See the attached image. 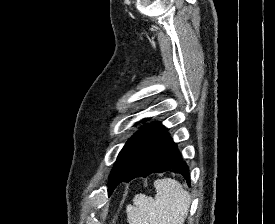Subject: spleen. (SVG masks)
<instances>
[{
  "label": "spleen",
  "instance_id": "obj_1",
  "mask_svg": "<svg viewBox=\"0 0 275 224\" xmlns=\"http://www.w3.org/2000/svg\"><path fill=\"white\" fill-rule=\"evenodd\" d=\"M155 198L137 194L128 205L129 224H184L191 198L181 183L171 178L154 181Z\"/></svg>",
  "mask_w": 275,
  "mask_h": 224
}]
</instances>
